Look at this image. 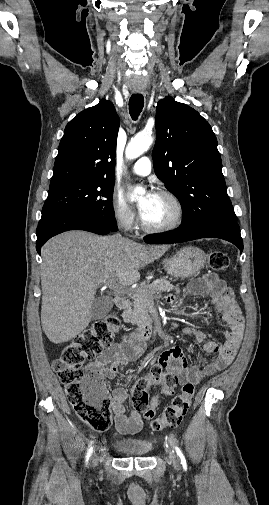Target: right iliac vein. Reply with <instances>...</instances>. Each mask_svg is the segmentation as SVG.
Returning <instances> with one entry per match:
<instances>
[{"mask_svg": "<svg viewBox=\"0 0 269 505\" xmlns=\"http://www.w3.org/2000/svg\"><path fill=\"white\" fill-rule=\"evenodd\" d=\"M97 462H98V456H97V454H94L93 460H92L93 466H96Z\"/></svg>", "mask_w": 269, "mask_h": 505, "instance_id": "obj_1", "label": "right iliac vein"}]
</instances>
